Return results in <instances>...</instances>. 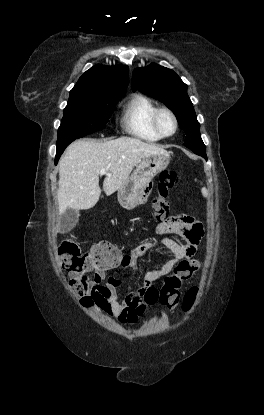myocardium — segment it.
Listing matches in <instances>:
<instances>
[{
	"instance_id": "obj_1",
	"label": "myocardium",
	"mask_w": 264,
	"mask_h": 415,
	"mask_svg": "<svg viewBox=\"0 0 264 415\" xmlns=\"http://www.w3.org/2000/svg\"><path fill=\"white\" fill-rule=\"evenodd\" d=\"M168 113L170 116H171V118L173 119V122H174V130L172 131V133H170V134H164L162 131H161V129H160V127H159V116L162 114V113ZM151 125H152V127H153V129H154V131L161 137V138H168V137H171V136H173L176 132H177V130H178V126H179V124H178V118H177V116H176V114L170 109V108H168V107H158L154 112H153V114H152V117H151Z\"/></svg>"
}]
</instances>
